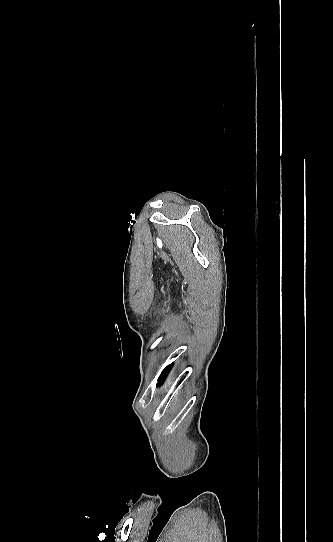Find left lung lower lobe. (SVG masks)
<instances>
[{
    "label": "left lung lower lobe",
    "instance_id": "1",
    "mask_svg": "<svg viewBox=\"0 0 333 542\" xmlns=\"http://www.w3.org/2000/svg\"><path fill=\"white\" fill-rule=\"evenodd\" d=\"M172 366H173V364H170L163 370V372L161 373V375H160V377L158 379L157 386H161L164 383L165 378L168 375V373H169Z\"/></svg>",
    "mask_w": 333,
    "mask_h": 542
}]
</instances>
